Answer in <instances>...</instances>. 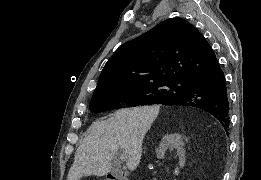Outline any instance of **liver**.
<instances>
[{
    "instance_id": "liver-1",
    "label": "liver",
    "mask_w": 261,
    "mask_h": 180,
    "mask_svg": "<svg viewBox=\"0 0 261 180\" xmlns=\"http://www.w3.org/2000/svg\"><path fill=\"white\" fill-rule=\"evenodd\" d=\"M158 106L122 108L110 118L93 122L89 136L80 144L70 168L68 180L84 176H107L120 152L127 154L128 170H136L142 156V144L158 114Z\"/></svg>"
}]
</instances>
